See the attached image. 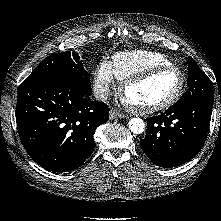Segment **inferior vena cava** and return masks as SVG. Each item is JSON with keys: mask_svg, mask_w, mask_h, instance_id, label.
Masks as SVG:
<instances>
[{"mask_svg": "<svg viewBox=\"0 0 221 221\" xmlns=\"http://www.w3.org/2000/svg\"><path fill=\"white\" fill-rule=\"evenodd\" d=\"M109 95H110V90L108 85H103L94 90V96L99 101L103 102L107 101Z\"/></svg>", "mask_w": 221, "mask_h": 221, "instance_id": "602c4592", "label": "inferior vena cava"}]
</instances>
